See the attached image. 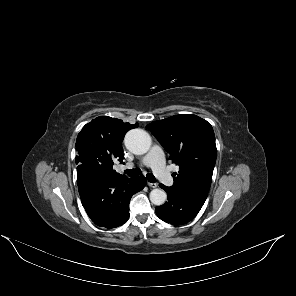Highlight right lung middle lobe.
<instances>
[{"instance_id": "obj_1", "label": "right lung middle lobe", "mask_w": 296, "mask_h": 296, "mask_svg": "<svg viewBox=\"0 0 296 296\" xmlns=\"http://www.w3.org/2000/svg\"><path fill=\"white\" fill-rule=\"evenodd\" d=\"M82 163L94 174L98 173V161L97 157L92 153H87L82 158Z\"/></svg>"}]
</instances>
